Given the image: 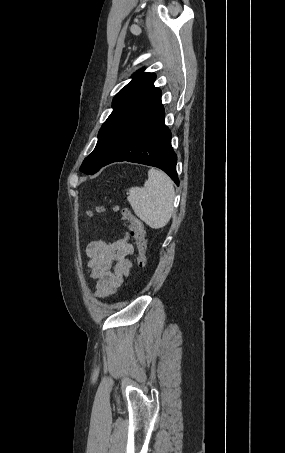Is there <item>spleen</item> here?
<instances>
[{"mask_svg":"<svg viewBox=\"0 0 285 453\" xmlns=\"http://www.w3.org/2000/svg\"><path fill=\"white\" fill-rule=\"evenodd\" d=\"M174 197V186L169 176L151 168L144 186L130 188L127 200L142 221L153 229H160L172 217Z\"/></svg>","mask_w":285,"mask_h":453,"instance_id":"1","label":"spleen"}]
</instances>
